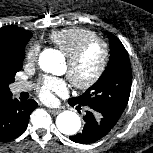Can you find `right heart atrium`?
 <instances>
[{
	"label": "right heart atrium",
	"mask_w": 153,
	"mask_h": 153,
	"mask_svg": "<svg viewBox=\"0 0 153 153\" xmlns=\"http://www.w3.org/2000/svg\"><path fill=\"white\" fill-rule=\"evenodd\" d=\"M40 47L37 43H33L29 46L26 52V60L28 63H34L39 55Z\"/></svg>",
	"instance_id": "d8ad5b80"
}]
</instances>
